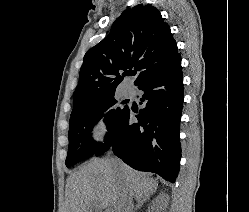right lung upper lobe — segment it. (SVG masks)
<instances>
[{
    "mask_svg": "<svg viewBox=\"0 0 249 212\" xmlns=\"http://www.w3.org/2000/svg\"><path fill=\"white\" fill-rule=\"evenodd\" d=\"M177 45L157 8L139 4L116 19L109 35L84 56L73 109L115 94L123 76L134 69L136 86L173 60Z\"/></svg>",
    "mask_w": 249,
    "mask_h": 212,
    "instance_id": "right-lung-upper-lobe-1",
    "label": "right lung upper lobe"
}]
</instances>
